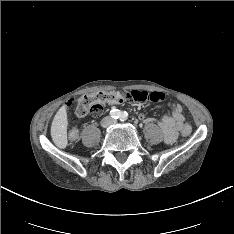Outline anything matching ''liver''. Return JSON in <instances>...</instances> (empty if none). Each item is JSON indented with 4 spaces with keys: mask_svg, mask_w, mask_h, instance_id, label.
<instances>
[{
    "mask_svg": "<svg viewBox=\"0 0 234 234\" xmlns=\"http://www.w3.org/2000/svg\"><path fill=\"white\" fill-rule=\"evenodd\" d=\"M67 112L66 107L62 106L56 115L54 116L52 125H51V137L54 144L64 149L67 146Z\"/></svg>",
    "mask_w": 234,
    "mask_h": 234,
    "instance_id": "liver-1",
    "label": "liver"
}]
</instances>
